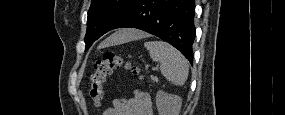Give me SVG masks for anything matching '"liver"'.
I'll return each instance as SVG.
<instances>
[{"label":"liver","mask_w":285,"mask_h":115,"mask_svg":"<svg viewBox=\"0 0 285 115\" xmlns=\"http://www.w3.org/2000/svg\"><path fill=\"white\" fill-rule=\"evenodd\" d=\"M148 35L144 32L132 29H124L116 32L109 38H107L104 42L99 45V49L106 48L113 45L122 44L125 42H129L131 40L141 39L147 37Z\"/></svg>","instance_id":"6515ba94"}]
</instances>
